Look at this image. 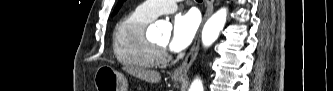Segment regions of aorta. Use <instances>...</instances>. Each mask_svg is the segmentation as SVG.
Segmentation results:
<instances>
[{"label":"aorta","instance_id":"obj_1","mask_svg":"<svg viewBox=\"0 0 333 91\" xmlns=\"http://www.w3.org/2000/svg\"><path fill=\"white\" fill-rule=\"evenodd\" d=\"M227 18V9L221 8L216 13H214L208 21L205 23L202 30V44L205 47L213 44L221 30L223 29ZM171 26L164 21H157L149 27V31L154 36H159L162 30L170 29ZM189 91H203V84L199 78H196L191 86Z\"/></svg>","mask_w":333,"mask_h":91}]
</instances>
